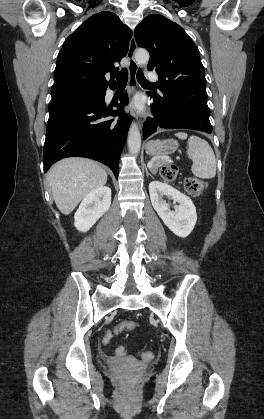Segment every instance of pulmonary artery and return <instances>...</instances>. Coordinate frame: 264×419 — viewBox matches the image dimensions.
I'll return each mask as SVG.
<instances>
[{
    "mask_svg": "<svg viewBox=\"0 0 264 419\" xmlns=\"http://www.w3.org/2000/svg\"><path fill=\"white\" fill-rule=\"evenodd\" d=\"M147 78L150 82H156L157 81V75L154 72H148Z\"/></svg>",
    "mask_w": 264,
    "mask_h": 419,
    "instance_id": "pulmonary-artery-1",
    "label": "pulmonary artery"
}]
</instances>
